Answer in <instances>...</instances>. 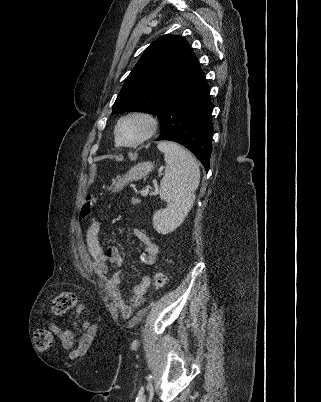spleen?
Instances as JSON below:
<instances>
[{
	"label": "spleen",
	"mask_w": 321,
	"mask_h": 402,
	"mask_svg": "<svg viewBox=\"0 0 321 402\" xmlns=\"http://www.w3.org/2000/svg\"><path fill=\"white\" fill-rule=\"evenodd\" d=\"M157 148L164 153L166 163L159 196L167 207L154 213L153 225L157 232L165 234L176 228L192 208L200 169L191 153L177 143L161 141Z\"/></svg>",
	"instance_id": "1"
}]
</instances>
